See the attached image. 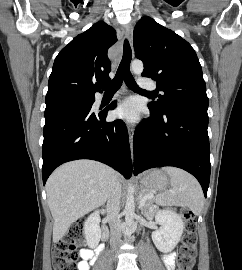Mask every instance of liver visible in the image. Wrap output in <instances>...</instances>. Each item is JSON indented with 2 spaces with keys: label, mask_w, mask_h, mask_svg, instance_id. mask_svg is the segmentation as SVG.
Masks as SVG:
<instances>
[{
  "label": "liver",
  "mask_w": 242,
  "mask_h": 270,
  "mask_svg": "<svg viewBox=\"0 0 242 270\" xmlns=\"http://www.w3.org/2000/svg\"><path fill=\"white\" fill-rule=\"evenodd\" d=\"M115 180L121 182L117 173L93 160L68 162L51 174L46 192L54 219V243L62 239L72 223L106 202Z\"/></svg>",
  "instance_id": "obj_1"
}]
</instances>
